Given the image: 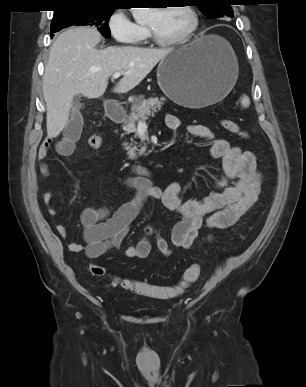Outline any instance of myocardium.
Returning a JSON list of instances; mask_svg holds the SVG:
<instances>
[{
	"label": "myocardium",
	"mask_w": 306,
	"mask_h": 387,
	"mask_svg": "<svg viewBox=\"0 0 306 387\" xmlns=\"http://www.w3.org/2000/svg\"><path fill=\"white\" fill-rule=\"evenodd\" d=\"M180 7L185 9L191 17V25H190L189 29L186 31V33L183 36H181L177 39L164 40V39H161L156 34V32L154 31V29L152 27L147 25L146 28H147L148 36L154 44L161 46V47H173V46L183 45V44L189 42L193 38V36L195 35L196 31L199 28V24H200L199 14H198L197 10L192 5L184 4L183 6H180ZM165 8H167V6L160 7L158 9H165Z\"/></svg>",
	"instance_id": "myocardium-1"
}]
</instances>
